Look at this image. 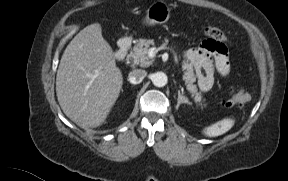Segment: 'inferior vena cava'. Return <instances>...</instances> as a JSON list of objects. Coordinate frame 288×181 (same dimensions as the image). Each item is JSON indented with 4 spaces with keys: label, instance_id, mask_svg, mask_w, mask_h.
<instances>
[{
    "label": "inferior vena cava",
    "instance_id": "obj_1",
    "mask_svg": "<svg viewBox=\"0 0 288 181\" xmlns=\"http://www.w3.org/2000/svg\"><path fill=\"white\" fill-rule=\"evenodd\" d=\"M147 76V72L142 69L132 70L128 75V80L132 84H139Z\"/></svg>",
    "mask_w": 288,
    "mask_h": 181
}]
</instances>
